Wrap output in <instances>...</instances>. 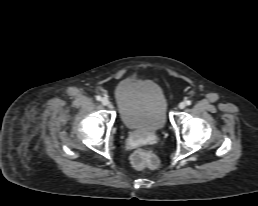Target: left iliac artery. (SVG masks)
Segmentation results:
<instances>
[{
    "label": "left iliac artery",
    "instance_id": "1",
    "mask_svg": "<svg viewBox=\"0 0 258 206\" xmlns=\"http://www.w3.org/2000/svg\"><path fill=\"white\" fill-rule=\"evenodd\" d=\"M186 105H191V101H190V100H187V101H186Z\"/></svg>",
    "mask_w": 258,
    "mask_h": 206
}]
</instances>
